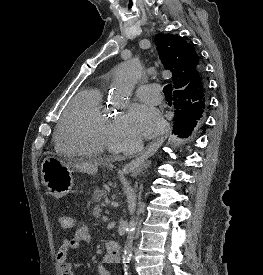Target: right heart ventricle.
Segmentation results:
<instances>
[{
    "mask_svg": "<svg viewBox=\"0 0 263 275\" xmlns=\"http://www.w3.org/2000/svg\"><path fill=\"white\" fill-rule=\"evenodd\" d=\"M110 120L99 87L80 91L64 111L55 133L56 149L71 157L100 155L107 145Z\"/></svg>",
    "mask_w": 263,
    "mask_h": 275,
    "instance_id": "right-heart-ventricle-1",
    "label": "right heart ventricle"
}]
</instances>
